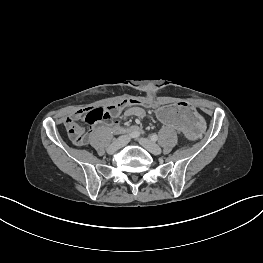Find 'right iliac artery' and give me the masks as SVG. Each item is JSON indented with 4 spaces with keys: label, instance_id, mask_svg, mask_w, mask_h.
Masks as SVG:
<instances>
[{
    "label": "right iliac artery",
    "instance_id": "right-iliac-artery-1",
    "mask_svg": "<svg viewBox=\"0 0 263 263\" xmlns=\"http://www.w3.org/2000/svg\"><path fill=\"white\" fill-rule=\"evenodd\" d=\"M128 135L132 138H136L140 135V132L138 131V129H134V130H131Z\"/></svg>",
    "mask_w": 263,
    "mask_h": 263
}]
</instances>
